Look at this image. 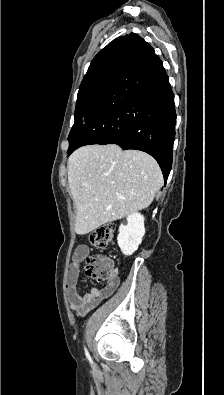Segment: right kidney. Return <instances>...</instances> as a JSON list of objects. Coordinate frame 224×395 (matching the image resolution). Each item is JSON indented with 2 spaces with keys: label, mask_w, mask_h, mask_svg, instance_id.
Listing matches in <instances>:
<instances>
[{
  "label": "right kidney",
  "mask_w": 224,
  "mask_h": 395,
  "mask_svg": "<svg viewBox=\"0 0 224 395\" xmlns=\"http://www.w3.org/2000/svg\"><path fill=\"white\" fill-rule=\"evenodd\" d=\"M127 225H120L117 237L118 245L125 256L132 255L145 235L144 216L138 212L127 217Z\"/></svg>",
  "instance_id": "ca27d5eb"
}]
</instances>
